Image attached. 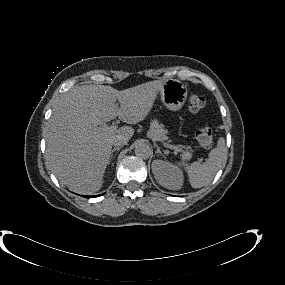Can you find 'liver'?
Listing matches in <instances>:
<instances>
[{
  "label": "liver",
  "instance_id": "liver-1",
  "mask_svg": "<svg viewBox=\"0 0 285 285\" xmlns=\"http://www.w3.org/2000/svg\"><path fill=\"white\" fill-rule=\"evenodd\" d=\"M164 82L150 81L121 91L106 85H82L61 96L45 138L46 161L60 183L79 194L97 192L109 164L112 141L117 136L129 140L134 130L100 131L96 126L116 117L128 124L143 121Z\"/></svg>",
  "mask_w": 285,
  "mask_h": 285
}]
</instances>
